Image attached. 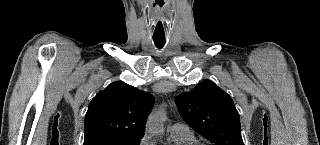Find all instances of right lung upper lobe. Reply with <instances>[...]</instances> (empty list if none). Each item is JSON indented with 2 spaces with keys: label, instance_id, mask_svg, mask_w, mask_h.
<instances>
[{
  "label": "right lung upper lobe",
  "instance_id": "cb5924a9",
  "mask_svg": "<svg viewBox=\"0 0 320 145\" xmlns=\"http://www.w3.org/2000/svg\"><path fill=\"white\" fill-rule=\"evenodd\" d=\"M153 104L149 92L121 81L111 83L89 104L84 143L102 138H142Z\"/></svg>",
  "mask_w": 320,
  "mask_h": 145
}]
</instances>
